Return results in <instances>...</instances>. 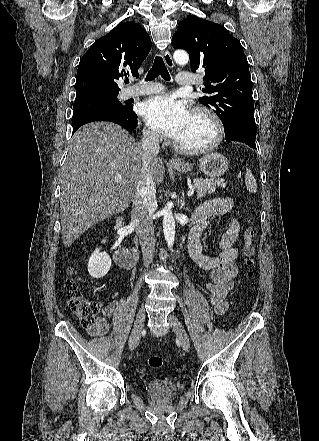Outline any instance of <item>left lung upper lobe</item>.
Returning <instances> with one entry per match:
<instances>
[{"instance_id": "left-lung-upper-lobe-1", "label": "left lung upper lobe", "mask_w": 319, "mask_h": 441, "mask_svg": "<svg viewBox=\"0 0 319 441\" xmlns=\"http://www.w3.org/2000/svg\"><path fill=\"white\" fill-rule=\"evenodd\" d=\"M174 48L189 53L191 70L205 69V93L199 102L213 109L225 134L236 127L257 130L249 66L241 43L222 25L189 16L178 24Z\"/></svg>"}]
</instances>
